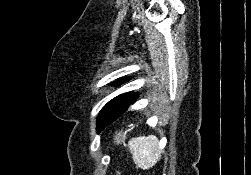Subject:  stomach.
<instances>
[{
    "label": "stomach",
    "instance_id": "obj_1",
    "mask_svg": "<svg viewBox=\"0 0 251 175\" xmlns=\"http://www.w3.org/2000/svg\"><path fill=\"white\" fill-rule=\"evenodd\" d=\"M131 129H132V125H129L128 129H125V131H116L113 137L114 143H116V145H119V143H124L127 137V133L128 131H131Z\"/></svg>",
    "mask_w": 251,
    "mask_h": 175
}]
</instances>
